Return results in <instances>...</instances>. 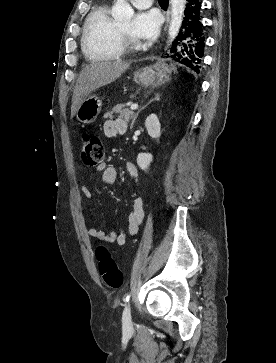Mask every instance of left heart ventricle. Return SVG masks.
Here are the masks:
<instances>
[{"label":"left heart ventricle","instance_id":"left-heart-ventricle-1","mask_svg":"<svg viewBox=\"0 0 276 363\" xmlns=\"http://www.w3.org/2000/svg\"><path fill=\"white\" fill-rule=\"evenodd\" d=\"M131 19H129L128 21L126 22H123V23H119L120 27L125 31V33L132 39V40H136L132 35H131V32H130V28H131Z\"/></svg>","mask_w":276,"mask_h":363}]
</instances>
